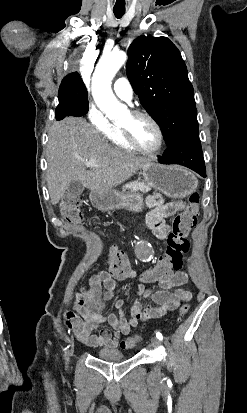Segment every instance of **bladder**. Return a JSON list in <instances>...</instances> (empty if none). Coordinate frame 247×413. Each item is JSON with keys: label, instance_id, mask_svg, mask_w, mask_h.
Returning <instances> with one entry per match:
<instances>
[{"label": "bladder", "instance_id": "obj_1", "mask_svg": "<svg viewBox=\"0 0 247 413\" xmlns=\"http://www.w3.org/2000/svg\"><path fill=\"white\" fill-rule=\"evenodd\" d=\"M96 358L105 360H124L126 359V354L121 353L116 347H111L107 349H99L96 353Z\"/></svg>", "mask_w": 247, "mask_h": 413}]
</instances>
